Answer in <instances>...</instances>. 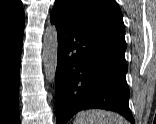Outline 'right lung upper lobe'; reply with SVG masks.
<instances>
[{
	"label": "right lung upper lobe",
	"mask_w": 156,
	"mask_h": 124,
	"mask_svg": "<svg viewBox=\"0 0 156 124\" xmlns=\"http://www.w3.org/2000/svg\"><path fill=\"white\" fill-rule=\"evenodd\" d=\"M24 27V11L20 0H0V30Z\"/></svg>",
	"instance_id": "obj_1"
}]
</instances>
